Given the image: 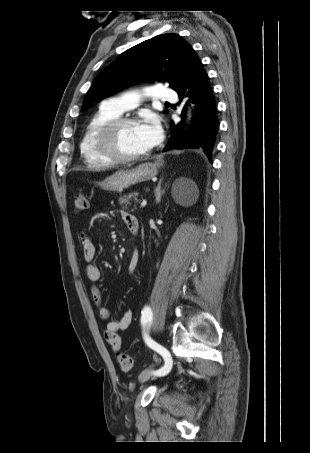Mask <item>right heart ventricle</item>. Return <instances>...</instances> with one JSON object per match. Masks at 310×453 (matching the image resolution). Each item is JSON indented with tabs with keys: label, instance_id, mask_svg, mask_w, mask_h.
Listing matches in <instances>:
<instances>
[{
	"label": "right heart ventricle",
	"instance_id": "1",
	"mask_svg": "<svg viewBox=\"0 0 310 453\" xmlns=\"http://www.w3.org/2000/svg\"><path fill=\"white\" fill-rule=\"evenodd\" d=\"M119 114L107 109L104 105L90 118L79 144L80 153L86 165L90 168H107L113 164L104 158L95 147V137L98 131L109 121L117 118Z\"/></svg>",
	"mask_w": 310,
	"mask_h": 453
}]
</instances>
